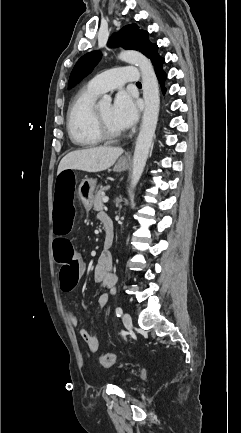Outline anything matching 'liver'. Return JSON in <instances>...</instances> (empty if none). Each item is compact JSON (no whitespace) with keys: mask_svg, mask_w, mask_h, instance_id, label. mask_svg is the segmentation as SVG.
Instances as JSON below:
<instances>
[{"mask_svg":"<svg viewBox=\"0 0 241 433\" xmlns=\"http://www.w3.org/2000/svg\"><path fill=\"white\" fill-rule=\"evenodd\" d=\"M124 152L117 147H95L72 151L65 155L58 166V173L64 169L100 172L111 167Z\"/></svg>","mask_w":241,"mask_h":433,"instance_id":"6515ba94","label":"liver"}]
</instances>
